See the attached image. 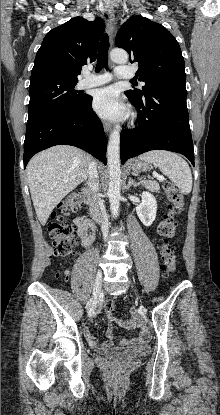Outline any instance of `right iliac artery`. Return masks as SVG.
Returning <instances> with one entry per match:
<instances>
[{"mask_svg":"<svg viewBox=\"0 0 220 415\" xmlns=\"http://www.w3.org/2000/svg\"><path fill=\"white\" fill-rule=\"evenodd\" d=\"M92 301H93V298H90L89 301L86 304V309L90 308Z\"/></svg>","mask_w":220,"mask_h":415,"instance_id":"82829eb1","label":"right iliac artery"}]
</instances>
